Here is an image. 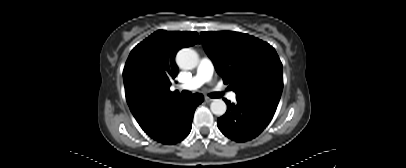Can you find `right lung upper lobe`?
Segmentation results:
<instances>
[{
  "instance_id": "obj_1",
  "label": "right lung upper lobe",
  "mask_w": 406,
  "mask_h": 168,
  "mask_svg": "<svg viewBox=\"0 0 406 168\" xmlns=\"http://www.w3.org/2000/svg\"><path fill=\"white\" fill-rule=\"evenodd\" d=\"M196 43L197 32L158 30L131 51L123 78L127 103L140 126L180 97L169 89L178 73L175 55Z\"/></svg>"
}]
</instances>
